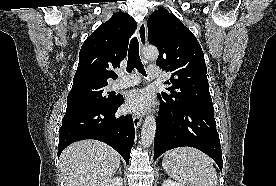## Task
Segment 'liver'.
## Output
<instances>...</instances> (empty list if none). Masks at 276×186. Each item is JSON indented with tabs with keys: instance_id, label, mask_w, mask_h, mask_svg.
Listing matches in <instances>:
<instances>
[{
	"instance_id": "liver-1",
	"label": "liver",
	"mask_w": 276,
	"mask_h": 186,
	"mask_svg": "<svg viewBox=\"0 0 276 186\" xmlns=\"http://www.w3.org/2000/svg\"><path fill=\"white\" fill-rule=\"evenodd\" d=\"M120 155L109 145L82 140L69 145L60 155L65 186H105L120 166Z\"/></svg>"
}]
</instances>
